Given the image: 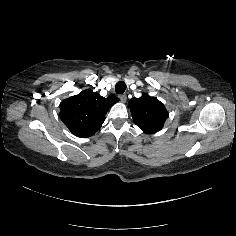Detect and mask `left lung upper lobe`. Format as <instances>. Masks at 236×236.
Returning a JSON list of instances; mask_svg holds the SVG:
<instances>
[{"mask_svg":"<svg viewBox=\"0 0 236 236\" xmlns=\"http://www.w3.org/2000/svg\"><path fill=\"white\" fill-rule=\"evenodd\" d=\"M129 108L134 123L146 133L160 131L168 117L163 103L148 94H143L140 98H132L129 101Z\"/></svg>","mask_w":236,"mask_h":236,"instance_id":"5c2ea615","label":"left lung upper lobe"}]
</instances>
